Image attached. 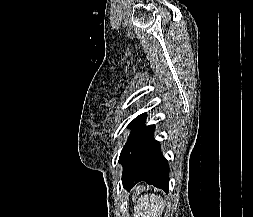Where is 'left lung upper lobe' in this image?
<instances>
[{"mask_svg": "<svg viewBox=\"0 0 253 217\" xmlns=\"http://www.w3.org/2000/svg\"><path fill=\"white\" fill-rule=\"evenodd\" d=\"M146 113H143L141 115H139L138 117H136L130 124H129V127L132 128V126L143 116L145 115Z\"/></svg>", "mask_w": 253, "mask_h": 217, "instance_id": "5c2ea615", "label": "left lung upper lobe"}]
</instances>
